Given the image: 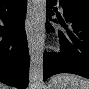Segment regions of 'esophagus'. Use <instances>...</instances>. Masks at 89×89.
Segmentation results:
<instances>
[{"label": "esophagus", "mask_w": 89, "mask_h": 89, "mask_svg": "<svg viewBox=\"0 0 89 89\" xmlns=\"http://www.w3.org/2000/svg\"><path fill=\"white\" fill-rule=\"evenodd\" d=\"M25 29H26V35L28 41V48L31 55L33 51V42H34L33 8L31 5V1H29L28 3V9H27L26 20H25Z\"/></svg>", "instance_id": "1"}]
</instances>
